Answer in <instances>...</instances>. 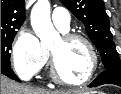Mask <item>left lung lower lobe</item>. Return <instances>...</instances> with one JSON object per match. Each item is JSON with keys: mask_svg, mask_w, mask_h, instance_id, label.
I'll use <instances>...</instances> for the list:
<instances>
[{"mask_svg": "<svg viewBox=\"0 0 121 94\" xmlns=\"http://www.w3.org/2000/svg\"><path fill=\"white\" fill-rule=\"evenodd\" d=\"M103 84H114L121 87V69L105 70L89 84V87H97Z\"/></svg>", "mask_w": 121, "mask_h": 94, "instance_id": "0a47b994", "label": "left lung lower lobe"}]
</instances>
